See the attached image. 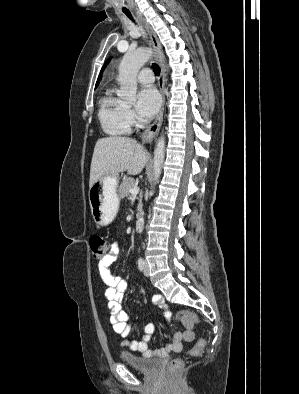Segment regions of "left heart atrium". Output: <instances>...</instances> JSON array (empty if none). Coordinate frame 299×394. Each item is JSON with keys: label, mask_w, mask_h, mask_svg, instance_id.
Masks as SVG:
<instances>
[{"label": "left heart atrium", "mask_w": 299, "mask_h": 394, "mask_svg": "<svg viewBox=\"0 0 299 394\" xmlns=\"http://www.w3.org/2000/svg\"><path fill=\"white\" fill-rule=\"evenodd\" d=\"M160 96L155 88L146 87L137 95L136 111L144 118L153 117L160 107Z\"/></svg>", "instance_id": "1"}]
</instances>
